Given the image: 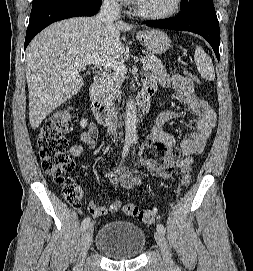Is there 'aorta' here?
Wrapping results in <instances>:
<instances>
[{"mask_svg": "<svg viewBox=\"0 0 253 271\" xmlns=\"http://www.w3.org/2000/svg\"><path fill=\"white\" fill-rule=\"evenodd\" d=\"M125 139L127 141L137 140V106L132 98L126 104Z\"/></svg>", "mask_w": 253, "mask_h": 271, "instance_id": "1", "label": "aorta"}]
</instances>
